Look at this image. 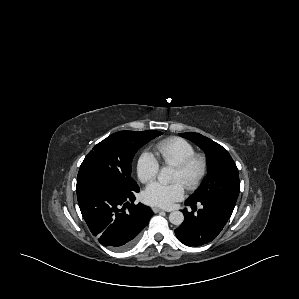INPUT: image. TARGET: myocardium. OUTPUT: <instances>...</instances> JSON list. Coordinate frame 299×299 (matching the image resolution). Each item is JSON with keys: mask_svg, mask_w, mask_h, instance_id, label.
Masks as SVG:
<instances>
[{"mask_svg": "<svg viewBox=\"0 0 299 299\" xmlns=\"http://www.w3.org/2000/svg\"><path fill=\"white\" fill-rule=\"evenodd\" d=\"M174 168L184 176V185L187 189H196L208 171V161L203 154L195 153L186 158Z\"/></svg>", "mask_w": 299, "mask_h": 299, "instance_id": "1", "label": "myocardium"}]
</instances>
